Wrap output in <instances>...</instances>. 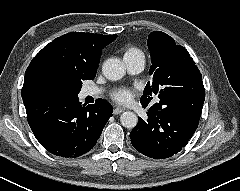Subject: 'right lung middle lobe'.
Instances as JSON below:
<instances>
[{"instance_id":"1","label":"right lung middle lobe","mask_w":240,"mask_h":191,"mask_svg":"<svg viewBox=\"0 0 240 191\" xmlns=\"http://www.w3.org/2000/svg\"><path fill=\"white\" fill-rule=\"evenodd\" d=\"M83 79L51 78L43 88L42 95L61 98H75L82 87Z\"/></svg>"}]
</instances>
